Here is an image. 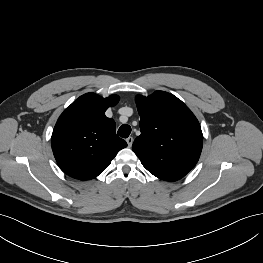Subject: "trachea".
Listing matches in <instances>:
<instances>
[{
    "label": "trachea",
    "instance_id": "obj_1",
    "mask_svg": "<svg viewBox=\"0 0 263 263\" xmlns=\"http://www.w3.org/2000/svg\"><path fill=\"white\" fill-rule=\"evenodd\" d=\"M117 133L120 137L127 138L131 133V127L129 125L124 124L118 129Z\"/></svg>",
    "mask_w": 263,
    "mask_h": 263
}]
</instances>
